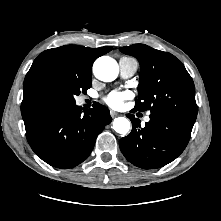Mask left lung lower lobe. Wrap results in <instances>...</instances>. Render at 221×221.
Instances as JSON below:
<instances>
[{
    "label": "left lung lower lobe",
    "instance_id": "obj_1",
    "mask_svg": "<svg viewBox=\"0 0 221 221\" xmlns=\"http://www.w3.org/2000/svg\"><path fill=\"white\" fill-rule=\"evenodd\" d=\"M127 117L132 131L119 146L129 162L144 169L163 167L176 159L187 146L194 125L181 117L157 113L150 114L142 128L139 119L131 114Z\"/></svg>",
    "mask_w": 221,
    "mask_h": 221
}]
</instances>
